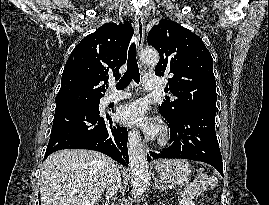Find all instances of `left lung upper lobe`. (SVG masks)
<instances>
[{
  "instance_id": "left-lung-upper-lobe-1",
  "label": "left lung upper lobe",
  "mask_w": 269,
  "mask_h": 205,
  "mask_svg": "<svg viewBox=\"0 0 269 205\" xmlns=\"http://www.w3.org/2000/svg\"><path fill=\"white\" fill-rule=\"evenodd\" d=\"M148 44L160 53L157 76L170 75L169 97L159 106L161 114L174 120L195 109L216 111L213 59L202 39L180 24L162 19L148 34Z\"/></svg>"
}]
</instances>
